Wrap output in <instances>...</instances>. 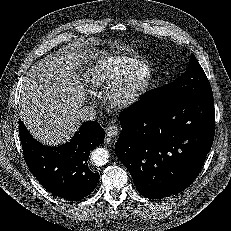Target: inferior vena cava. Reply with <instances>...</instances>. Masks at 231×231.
Wrapping results in <instances>:
<instances>
[{"label": "inferior vena cava", "instance_id": "obj_1", "mask_svg": "<svg viewBox=\"0 0 231 231\" xmlns=\"http://www.w3.org/2000/svg\"><path fill=\"white\" fill-rule=\"evenodd\" d=\"M77 118L83 122L95 120L96 111L92 106H84L78 110Z\"/></svg>", "mask_w": 231, "mask_h": 231}]
</instances>
